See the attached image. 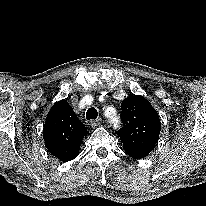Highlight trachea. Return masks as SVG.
Instances as JSON below:
<instances>
[{"instance_id": "3493384b", "label": "trachea", "mask_w": 206, "mask_h": 206, "mask_svg": "<svg viewBox=\"0 0 206 206\" xmlns=\"http://www.w3.org/2000/svg\"><path fill=\"white\" fill-rule=\"evenodd\" d=\"M97 116H98V111L96 108L91 107L87 110V113H86L87 120L96 119Z\"/></svg>"}]
</instances>
